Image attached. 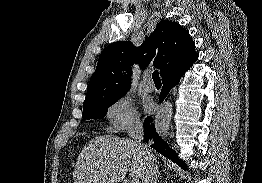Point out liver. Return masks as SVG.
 Wrapping results in <instances>:
<instances>
[{"label":"liver","mask_w":262,"mask_h":183,"mask_svg":"<svg viewBox=\"0 0 262 183\" xmlns=\"http://www.w3.org/2000/svg\"><path fill=\"white\" fill-rule=\"evenodd\" d=\"M143 160L136 142L128 138L102 135L91 139L78 156L74 183H117L127 172L140 178Z\"/></svg>","instance_id":"1"}]
</instances>
